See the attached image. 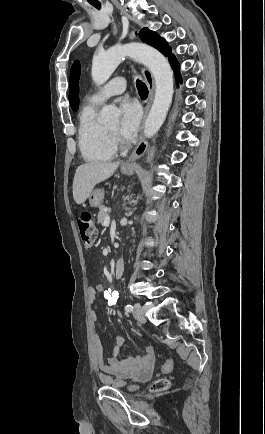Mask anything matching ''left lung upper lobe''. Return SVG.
<instances>
[{
	"label": "left lung upper lobe",
	"instance_id": "1",
	"mask_svg": "<svg viewBox=\"0 0 265 434\" xmlns=\"http://www.w3.org/2000/svg\"><path fill=\"white\" fill-rule=\"evenodd\" d=\"M139 36L141 40L154 48L158 49L165 56H169L171 53V48L167 44V42L162 39L156 32L149 30L148 28L141 29ZM174 56L170 55L169 60H171Z\"/></svg>",
	"mask_w": 265,
	"mask_h": 434
}]
</instances>
